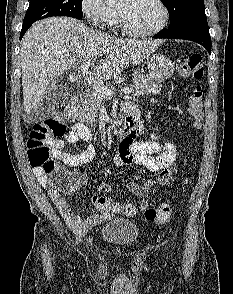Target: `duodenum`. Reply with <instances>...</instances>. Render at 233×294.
I'll return each instance as SVG.
<instances>
[{
  "label": "duodenum",
  "mask_w": 233,
  "mask_h": 294,
  "mask_svg": "<svg viewBox=\"0 0 233 294\" xmlns=\"http://www.w3.org/2000/svg\"><path fill=\"white\" fill-rule=\"evenodd\" d=\"M78 97H72L66 104L64 109L65 117L70 121H76L79 118ZM125 123L122 128L118 130L117 136L122 140H133L138 131V111L135 106L128 104L124 107Z\"/></svg>",
  "instance_id": "obj_1"
}]
</instances>
